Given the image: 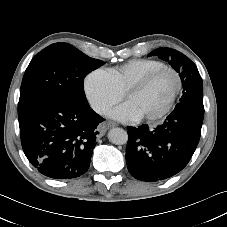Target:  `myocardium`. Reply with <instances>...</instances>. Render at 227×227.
<instances>
[{
	"label": "myocardium",
	"instance_id": "myocardium-1",
	"mask_svg": "<svg viewBox=\"0 0 227 227\" xmlns=\"http://www.w3.org/2000/svg\"><path fill=\"white\" fill-rule=\"evenodd\" d=\"M166 71L173 72L177 79V88H176L173 96L171 97V99L169 100L167 105L164 107V109L160 113H158L157 115H155L153 117H141L137 120L138 122L146 121L148 123H155V122L159 121L160 119L164 118L170 112L177 97L179 96V94L182 92V89H183V80H182L181 74L175 68L165 65L155 71L150 72L149 74L144 76L142 79H140L138 82H136L134 85H132L130 88H128L124 92L123 101H125L128 97H130V96L138 93L142 89H144L153 79H155L158 75H160L161 73L166 72Z\"/></svg>",
	"mask_w": 227,
	"mask_h": 227
}]
</instances>
